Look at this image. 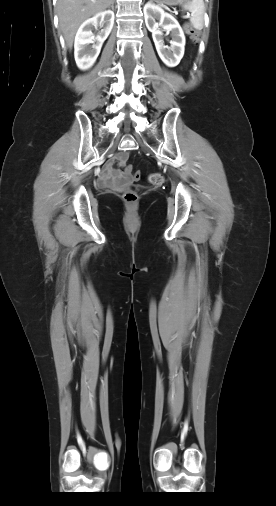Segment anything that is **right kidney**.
<instances>
[{"label": "right kidney", "instance_id": "ca27d5eb", "mask_svg": "<svg viewBox=\"0 0 276 506\" xmlns=\"http://www.w3.org/2000/svg\"><path fill=\"white\" fill-rule=\"evenodd\" d=\"M113 24L114 12L111 10L99 12L81 24L74 42L75 61L80 69H89L95 63L102 44L110 34ZM98 26L102 29L99 35L95 37L92 30ZM90 44H92L91 47Z\"/></svg>", "mask_w": 276, "mask_h": 506}]
</instances>
